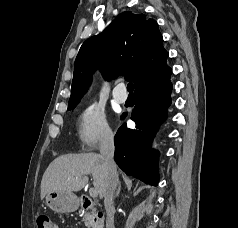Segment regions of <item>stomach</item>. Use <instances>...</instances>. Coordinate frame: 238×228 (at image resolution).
<instances>
[{"mask_svg": "<svg viewBox=\"0 0 238 228\" xmlns=\"http://www.w3.org/2000/svg\"><path fill=\"white\" fill-rule=\"evenodd\" d=\"M46 204L55 212L69 213L79 206V199L73 192L51 191L46 195Z\"/></svg>", "mask_w": 238, "mask_h": 228, "instance_id": "0dacf381", "label": "stomach"}]
</instances>
